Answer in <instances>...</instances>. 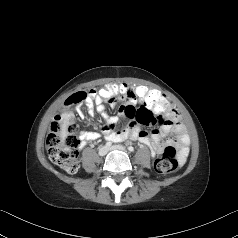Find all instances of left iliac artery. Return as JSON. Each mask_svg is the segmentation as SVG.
<instances>
[{"mask_svg":"<svg viewBox=\"0 0 238 238\" xmlns=\"http://www.w3.org/2000/svg\"><path fill=\"white\" fill-rule=\"evenodd\" d=\"M128 150H129L130 152H133V151H134V147L129 146V147H128Z\"/></svg>","mask_w":238,"mask_h":238,"instance_id":"left-iliac-artery-1","label":"left iliac artery"}]
</instances>
